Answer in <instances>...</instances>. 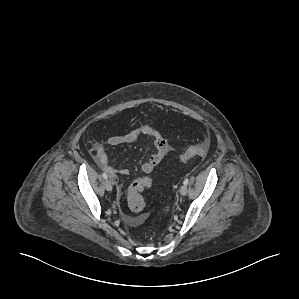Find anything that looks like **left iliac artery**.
<instances>
[{
	"mask_svg": "<svg viewBox=\"0 0 299 299\" xmlns=\"http://www.w3.org/2000/svg\"><path fill=\"white\" fill-rule=\"evenodd\" d=\"M188 182H189V179H188V178H185L183 184H184V185H188Z\"/></svg>",
	"mask_w": 299,
	"mask_h": 299,
	"instance_id": "44dca946",
	"label": "left iliac artery"
}]
</instances>
